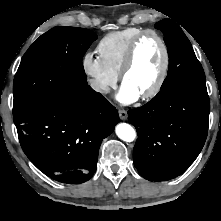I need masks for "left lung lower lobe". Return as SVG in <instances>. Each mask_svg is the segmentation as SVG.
<instances>
[{
  "instance_id": "left-lung-lower-lobe-1",
  "label": "left lung lower lobe",
  "mask_w": 221,
  "mask_h": 221,
  "mask_svg": "<svg viewBox=\"0 0 221 221\" xmlns=\"http://www.w3.org/2000/svg\"><path fill=\"white\" fill-rule=\"evenodd\" d=\"M207 89L187 85L166 87L142 107L128 111L138 139L133 161L150 181L182 174L197 158L207 137Z\"/></svg>"
}]
</instances>
